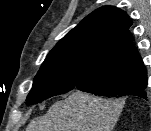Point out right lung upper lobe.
<instances>
[{"mask_svg":"<svg viewBox=\"0 0 151 131\" xmlns=\"http://www.w3.org/2000/svg\"><path fill=\"white\" fill-rule=\"evenodd\" d=\"M128 15L119 8L104 6L85 17L60 43L93 57L100 79L117 94L147 84V73L132 43Z\"/></svg>","mask_w":151,"mask_h":131,"instance_id":"1","label":"right lung upper lobe"}]
</instances>
